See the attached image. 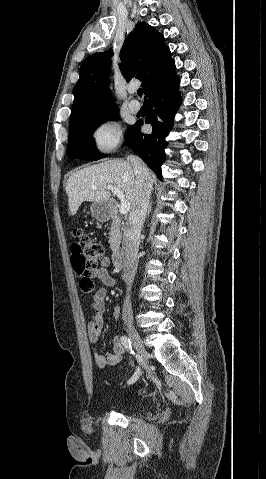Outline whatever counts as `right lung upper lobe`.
<instances>
[{
    "mask_svg": "<svg viewBox=\"0 0 266 479\" xmlns=\"http://www.w3.org/2000/svg\"><path fill=\"white\" fill-rule=\"evenodd\" d=\"M112 51L87 57L76 84L70 122L116 109L109 91V68ZM164 37L146 22H138L121 48L122 75L137 78L147 95L176 76Z\"/></svg>",
    "mask_w": 266,
    "mask_h": 479,
    "instance_id": "right-lung-upper-lobe-1",
    "label": "right lung upper lobe"
}]
</instances>
